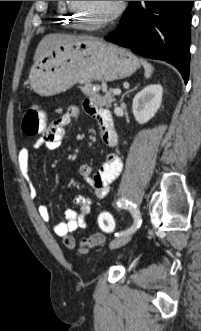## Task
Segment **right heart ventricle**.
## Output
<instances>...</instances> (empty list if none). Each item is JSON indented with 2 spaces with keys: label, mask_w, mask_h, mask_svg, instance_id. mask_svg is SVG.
Returning a JSON list of instances; mask_svg holds the SVG:
<instances>
[{
  "label": "right heart ventricle",
  "mask_w": 201,
  "mask_h": 331,
  "mask_svg": "<svg viewBox=\"0 0 201 331\" xmlns=\"http://www.w3.org/2000/svg\"><path fill=\"white\" fill-rule=\"evenodd\" d=\"M57 11L59 13L60 20H65L64 22H68V24H69L68 26L77 25L78 21L76 19V15L70 9L68 1H58L57 2Z\"/></svg>",
  "instance_id": "e07e8e85"
}]
</instances>
